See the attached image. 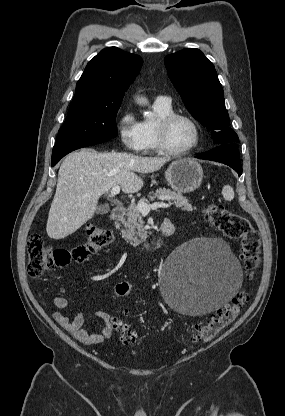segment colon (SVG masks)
Segmentation results:
<instances>
[{
    "instance_id": "obj_1",
    "label": "colon",
    "mask_w": 285,
    "mask_h": 416,
    "mask_svg": "<svg viewBox=\"0 0 285 416\" xmlns=\"http://www.w3.org/2000/svg\"><path fill=\"white\" fill-rule=\"evenodd\" d=\"M204 216L206 221L219 229L223 235L240 241V257L248 279L253 280L259 266L260 240L250 221L232 213L220 204H210L205 207ZM111 239V232L97 224H89L86 227L85 242L73 249L54 248L47 245L40 235L33 234L29 237L27 246L28 274L30 277L37 278L48 270L64 267L71 262H82L109 244ZM130 291L131 287L128 282H120L115 287V294L119 298L126 297ZM248 300L247 292H239L229 304L212 314L208 321L195 327L193 341L207 342L213 339L237 318ZM112 325L125 344L133 345L137 342L136 335L121 319L113 317Z\"/></svg>"
}]
</instances>
